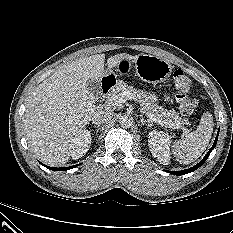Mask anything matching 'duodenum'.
Listing matches in <instances>:
<instances>
[{
    "mask_svg": "<svg viewBox=\"0 0 233 233\" xmlns=\"http://www.w3.org/2000/svg\"><path fill=\"white\" fill-rule=\"evenodd\" d=\"M115 85V79L111 76L103 78L101 82V93L106 96Z\"/></svg>",
    "mask_w": 233,
    "mask_h": 233,
    "instance_id": "obj_1",
    "label": "duodenum"
}]
</instances>
